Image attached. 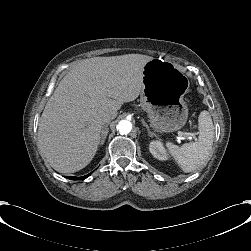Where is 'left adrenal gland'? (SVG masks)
Listing matches in <instances>:
<instances>
[{"instance_id": "left-adrenal-gland-1", "label": "left adrenal gland", "mask_w": 251, "mask_h": 251, "mask_svg": "<svg viewBox=\"0 0 251 251\" xmlns=\"http://www.w3.org/2000/svg\"><path fill=\"white\" fill-rule=\"evenodd\" d=\"M141 121H142L143 126H145L146 129H147L148 136H149V137H153V136L157 137V135H156L155 133H153V132H151V131L149 130V127H148L147 123L144 121V119H142Z\"/></svg>"}]
</instances>
